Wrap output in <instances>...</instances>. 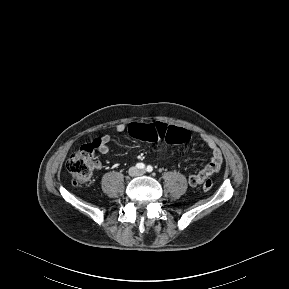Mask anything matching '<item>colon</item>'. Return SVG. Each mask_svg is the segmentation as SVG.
Listing matches in <instances>:
<instances>
[{"instance_id": "colon-1", "label": "colon", "mask_w": 289, "mask_h": 289, "mask_svg": "<svg viewBox=\"0 0 289 289\" xmlns=\"http://www.w3.org/2000/svg\"><path fill=\"white\" fill-rule=\"evenodd\" d=\"M132 137L144 138L149 141H158L164 139L168 143H183L189 139V132L185 129L168 126L164 121L139 123L134 122L129 127ZM100 146V140L95 139L91 143L83 144L75 151L67 161L66 167L72 175L74 184L78 186L86 185L96 165V151ZM213 187L212 180L208 179L203 183L205 191Z\"/></svg>"}]
</instances>
